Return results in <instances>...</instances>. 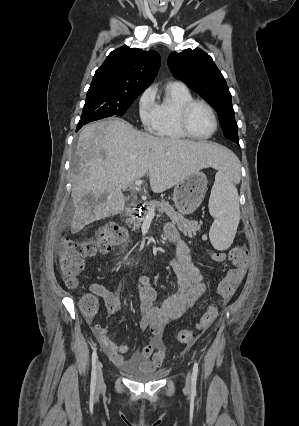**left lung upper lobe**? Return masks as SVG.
<instances>
[{
	"mask_svg": "<svg viewBox=\"0 0 299 426\" xmlns=\"http://www.w3.org/2000/svg\"><path fill=\"white\" fill-rule=\"evenodd\" d=\"M168 66L175 78L182 80L214 107L224 136L239 143L231 93L211 56L198 48L172 52Z\"/></svg>",
	"mask_w": 299,
	"mask_h": 426,
	"instance_id": "1",
	"label": "left lung upper lobe"
}]
</instances>
